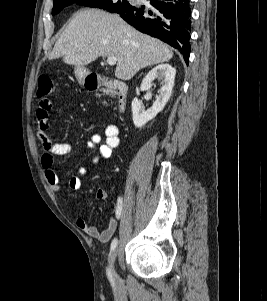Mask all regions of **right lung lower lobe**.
<instances>
[{"label": "right lung lower lobe", "mask_w": 267, "mask_h": 301, "mask_svg": "<svg viewBox=\"0 0 267 301\" xmlns=\"http://www.w3.org/2000/svg\"><path fill=\"white\" fill-rule=\"evenodd\" d=\"M127 23L178 49L186 64L190 55L191 10L189 0H150L118 13Z\"/></svg>", "instance_id": "1"}]
</instances>
